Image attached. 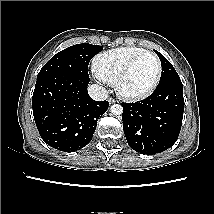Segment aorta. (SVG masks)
<instances>
[{
	"label": "aorta",
	"instance_id": "1",
	"mask_svg": "<svg viewBox=\"0 0 214 214\" xmlns=\"http://www.w3.org/2000/svg\"><path fill=\"white\" fill-rule=\"evenodd\" d=\"M110 109L113 115H121L123 112V108L119 104H113Z\"/></svg>",
	"mask_w": 214,
	"mask_h": 214
}]
</instances>
